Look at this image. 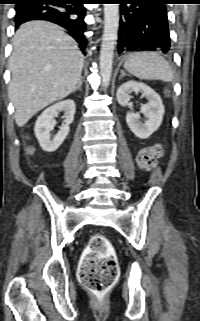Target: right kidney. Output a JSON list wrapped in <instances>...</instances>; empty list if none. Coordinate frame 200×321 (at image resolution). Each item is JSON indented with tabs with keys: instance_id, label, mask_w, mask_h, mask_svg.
I'll return each instance as SVG.
<instances>
[{
	"instance_id": "1",
	"label": "right kidney",
	"mask_w": 200,
	"mask_h": 321,
	"mask_svg": "<svg viewBox=\"0 0 200 321\" xmlns=\"http://www.w3.org/2000/svg\"><path fill=\"white\" fill-rule=\"evenodd\" d=\"M59 112H64L65 120L59 131L53 135L51 131L54 118ZM75 112L76 105L71 99L58 102L42 112L36 121L34 132L43 150L53 152L59 148L69 133V125L74 120Z\"/></svg>"
}]
</instances>
